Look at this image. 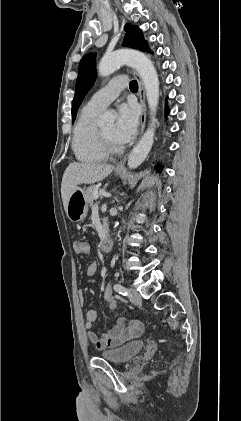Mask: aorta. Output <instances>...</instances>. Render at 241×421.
<instances>
[{"instance_id": "762f6f07", "label": "aorta", "mask_w": 241, "mask_h": 421, "mask_svg": "<svg viewBox=\"0 0 241 421\" xmlns=\"http://www.w3.org/2000/svg\"><path fill=\"white\" fill-rule=\"evenodd\" d=\"M124 64L132 66L140 75L144 84L150 115L152 117L150 126L128 157V167L130 169H135L146 159L153 145L155 115L159 101V80L152 61L144 53L131 49L117 50L110 55L104 56L99 63L98 73L103 77L111 75ZM114 120L115 116L113 114L106 113L101 117L99 123L104 125L113 123ZM117 225L118 222L115 226Z\"/></svg>"}]
</instances>
